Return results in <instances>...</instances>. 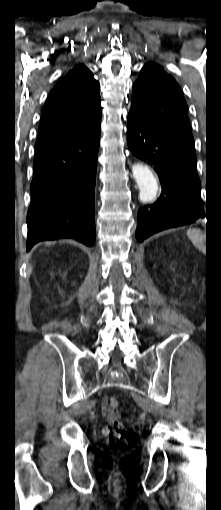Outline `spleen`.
<instances>
[{
  "label": "spleen",
  "instance_id": "spleen-1",
  "mask_svg": "<svg viewBox=\"0 0 221 510\" xmlns=\"http://www.w3.org/2000/svg\"><path fill=\"white\" fill-rule=\"evenodd\" d=\"M187 235L192 243L200 250L205 251L206 249V235L198 229H189Z\"/></svg>",
  "mask_w": 221,
  "mask_h": 510
}]
</instances>
